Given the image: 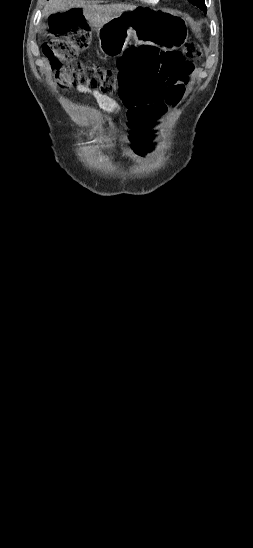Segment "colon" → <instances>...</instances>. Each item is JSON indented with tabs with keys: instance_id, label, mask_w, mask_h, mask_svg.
Instances as JSON below:
<instances>
[{
	"instance_id": "colon-1",
	"label": "colon",
	"mask_w": 253,
	"mask_h": 548,
	"mask_svg": "<svg viewBox=\"0 0 253 548\" xmlns=\"http://www.w3.org/2000/svg\"><path fill=\"white\" fill-rule=\"evenodd\" d=\"M56 39L44 47V55L55 70V82L63 89L84 86L104 95L120 92L129 105V123L134 133L130 140L138 157L157 152L147 128L152 121L165 120L168 106L182 98L189 74L202 56L200 45L189 42L182 51L159 53L142 45L128 49L117 68H109L78 59V52L89 43V27L80 10L59 12L52 16ZM162 60H152L154 58Z\"/></svg>"
}]
</instances>
